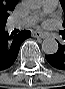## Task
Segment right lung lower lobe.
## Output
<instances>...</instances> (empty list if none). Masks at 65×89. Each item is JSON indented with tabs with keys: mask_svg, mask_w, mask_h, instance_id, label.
Here are the masks:
<instances>
[{
	"mask_svg": "<svg viewBox=\"0 0 65 89\" xmlns=\"http://www.w3.org/2000/svg\"><path fill=\"white\" fill-rule=\"evenodd\" d=\"M30 34V31H21L12 36L4 28H0V71L14 63L22 42L29 38Z\"/></svg>",
	"mask_w": 65,
	"mask_h": 89,
	"instance_id": "1",
	"label": "right lung lower lobe"
}]
</instances>
